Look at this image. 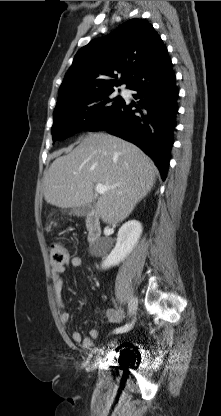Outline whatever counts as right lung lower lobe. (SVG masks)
<instances>
[{
    "mask_svg": "<svg viewBox=\"0 0 221 416\" xmlns=\"http://www.w3.org/2000/svg\"><path fill=\"white\" fill-rule=\"evenodd\" d=\"M138 104L124 101L116 114L96 131L106 130L140 147L158 167L162 180L167 177L173 130L178 112V90L171 70L164 77H152L134 85Z\"/></svg>",
    "mask_w": 221,
    "mask_h": 416,
    "instance_id": "1",
    "label": "right lung lower lobe"
}]
</instances>
